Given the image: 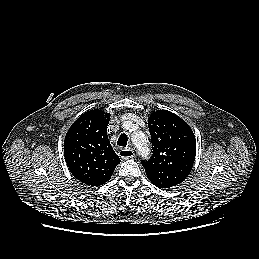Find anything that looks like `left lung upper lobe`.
<instances>
[{
	"instance_id": "obj_1",
	"label": "left lung upper lobe",
	"mask_w": 259,
	"mask_h": 259,
	"mask_svg": "<svg viewBox=\"0 0 259 259\" xmlns=\"http://www.w3.org/2000/svg\"><path fill=\"white\" fill-rule=\"evenodd\" d=\"M153 155L142 161L146 172L172 173L182 179L190 174L196 156V139L189 125L167 110H158L148 118Z\"/></svg>"
}]
</instances>
